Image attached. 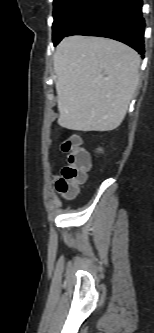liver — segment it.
<instances>
[{
  "label": "liver",
  "instance_id": "1",
  "mask_svg": "<svg viewBox=\"0 0 154 333\" xmlns=\"http://www.w3.org/2000/svg\"><path fill=\"white\" fill-rule=\"evenodd\" d=\"M140 56L107 38L70 36L54 53L58 124L111 131L123 121L139 82Z\"/></svg>",
  "mask_w": 154,
  "mask_h": 333
}]
</instances>
